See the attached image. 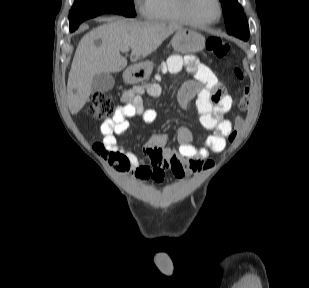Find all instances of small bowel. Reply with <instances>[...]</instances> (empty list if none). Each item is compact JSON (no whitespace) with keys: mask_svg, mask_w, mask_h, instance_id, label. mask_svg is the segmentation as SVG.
I'll list each match as a JSON object with an SVG mask.
<instances>
[{"mask_svg":"<svg viewBox=\"0 0 309 288\" xmlns=\"http://www.w3.org/2000/svg\"><path fill=\"white\" fill-rule=\"evenodd\" d=\"M183 67L193 76V81L181 87L177 104L184 109L190 100L196 97L195 105L200 122L211 130L202 147L191 143L194 135L186 126L178 129L177 149L168 146L166 134L157 133L149 137L144 154L150 164L142 163L130 147L117 144L116 136L126 133L130 127L129 118L139 117L146 124L157 120L158 114L154 109L144 108L141 94L146 91L152 97H159L161 88L158 84L139 86L124 93L114 115L101 125L100 131L106 150L121 153L125 157V162L118 166L119 170L129 172L141 181L151 180L161 184L166 171H170L177 179H184L190 173L201 170L204 160L210 154L220 153L225 149L226 138L232 131V122L226 114L231 110L233 100L214 72L193 55L185 58L174 55L168 60L167 68L171 73H177Z\"/></svg>","mask_w":309,"mask_h":288,"instance_id":"1","label":"small bowel"}]
</instances>
